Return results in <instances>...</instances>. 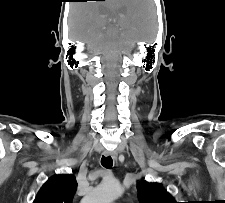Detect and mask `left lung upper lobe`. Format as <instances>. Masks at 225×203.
Segmentation results:
<instances>
[{
  "instance_id": "5c2ea615",
  "label": "left lung upper lobe",
  "mask_w": 225,
  "mask_h": 203,
  "mask_svg": "<svg viewBox=\"0 0 225 203\" xmlns=\"http://www.w3.org/2000/svg\"><path fill=\"white\" fill-rule=\"evenodd\" d=\"M140 203H177L174 198L158 183L142 181L137 185Z\"/></svg>"
}]
</instances>
